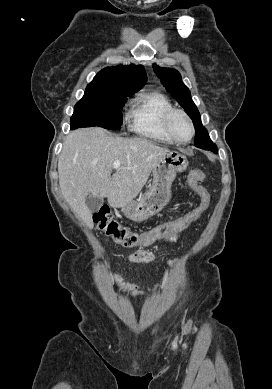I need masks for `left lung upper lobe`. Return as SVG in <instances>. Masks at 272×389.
I'll return each instance as SVG.
<instances>
[{
	"instance_id": "left-lung-upper-lobe-1",
	"label": "left lung upper lobe",
	"mask_w": 272,
	"mask_h": 389,
	"mask_svg": "<svg viewBox=\"0 0 272 389\" xmlns=\"http://www.w3.org/2000/svg\"><path fill=\"white\" fill-rule=\"evenodd\" d=\"M152 66L167 91L173 95L192 119L196 132L195 146L216 152L217 146L210 140L206 128L202 125L199 111L192 101L189 89L182 82L180 73L175 69L161 68L155 63Z\"/></svg>"
}]
</instances>
